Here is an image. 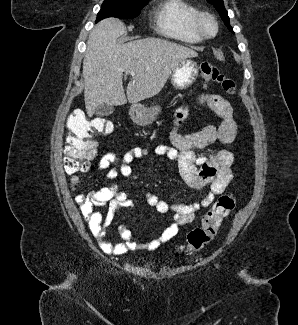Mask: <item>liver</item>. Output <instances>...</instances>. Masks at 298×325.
<instances>
[{
    "mask_svg": "<svg viewBox=\"0 0 298 325\" xmlns=\"http://www.w3.org/2000/svg\"><path fill=\"white\" fill-rule=\"evenodd\" d=\"M122 34L126 28L113 16L90 30L82 66L88 116H93L99 104H134L155 96L182 58L198 56L194 48L152 36L119 44L117 38ZM127 70L136 76L130 78L125 94L122 78Z\"/></svg>",
    "mask_w": 298,
    "mask_h": 325,
    "instance_id": "1",
    "label": "liver"
}]
</instances>
